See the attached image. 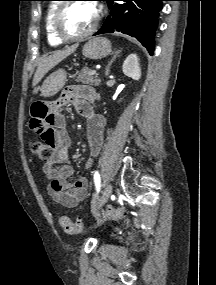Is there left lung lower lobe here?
I'll list each match as a JSON object with an SVG mask.
<instances>
[{"label":"left lung lower lobe","mask_w":216,"mask_h":285,"mask_svg":"<svg viewBox=\"0 0 216 285\" xmlns=\"http://www.w3.org/2000/svg\"><path fill=\"white\" fill-rule=\"evenodd\" d=\"M113 1H123V3L113 4ZM162 1L166 0H108L110 15L94 35L114 32L131 35L152 55Z\"/></svg>","instance_id":"left-lung-lower-lobe-1"}]
</instances>
